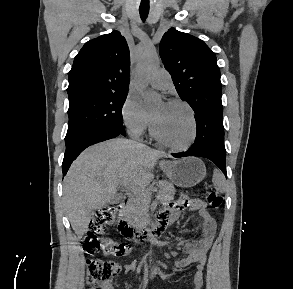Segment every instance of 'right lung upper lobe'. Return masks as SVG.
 Segmentation results:
<instances>
[{
  "instance_id": "right-lung-upper-lobe-1",
  "label": "right lung upper lobe",
  "mask_w": 293,
  "mask_h": 289,
  "mask_svg": "<svg viewBox=\"0 0 293 289\" xmlns=\"http://www.w3.org/2000/svg\"><path fill=\"white\" fill-rule=\"evenodd\" d=\"M129 48L119 31L88 41L74 59L69 72V101L128 92Z\"/></svg>"
}]
</instances>
